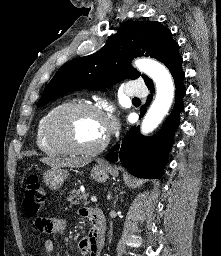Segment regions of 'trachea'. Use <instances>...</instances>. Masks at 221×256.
<instances>
[{
	"label": "trachea",
	"mask_w": 221,
	"mask_h": 256,
	"mask_svg": "<svg viewBox=\"0 0 221 256\" xmlns=\"http://www.w3.org/2000/svg\"><path fill=\"white\" fill-rule=\"evenodd\" d=\"M133 100L140 101V99H138V98H133Z\"/></svg>",
	"instance_id": "trachea-1"
}]
</instances>
